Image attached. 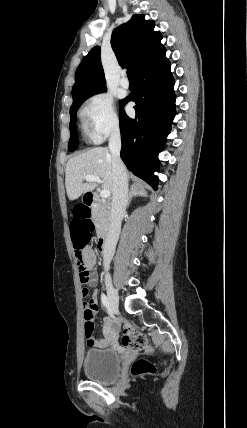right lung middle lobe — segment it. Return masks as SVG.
<instances>
[{
	"instance_id": "right-lung-middle-lobe-1",
	"label": "right lung middle lobe",
	"mask_w": 247,
	"mask_h": 428,
	"mask_svg": "<svg viewBox=\"0 0 247 428\" xmlns=\"http://www.w3.org/2000/svg\"><path fill=\"white\" fill-rule=\"evenodd\" d=\"M94 95V94H92ZM92 95H89L81 100H79L78 102L72 104L71 108H70V140L68 143V148L70 151H73L77 148L78 142H77V135H76V113L77 110L79 109V107L81 106V104L87 100L89 97H91ZM122 102V101H121Z\"/></svg>"
}]
</instances>
